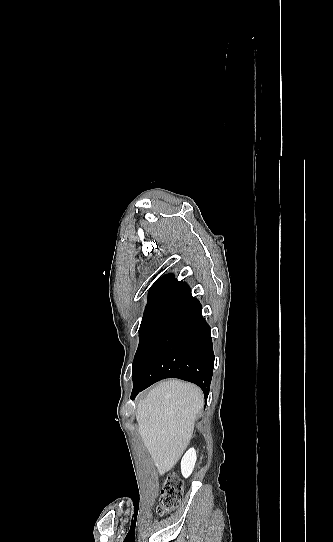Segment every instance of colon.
I'll return each mask as SVG.
<instances>
[{"mask_svg": "<svg viewBox=\"0 0 333 542\" xmlns=\"http://www.w3.org/2000/svg\"><path fill=\"white\" fill-rule=\"evenodd\" d=\"M182 495L181 481L174 474L168 475L161 492L159 511L168 512L177 508L182 501Z\"/></svg>", "mask_w": 333, "mask_h": 542, "instance_id": "5ec220e1", "label": "colon"}]
</instances>
